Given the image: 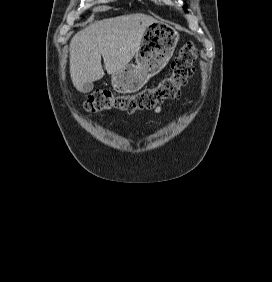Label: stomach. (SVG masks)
I'll return each instance as SVG.
<instances>
[{
  "label": "stomach",
  "instance_id": "0dacf381",
  "mask_svg": "<svg viewBox=\"0 0 272 282\" xmlns=\"http://www.w3.org/2000/svg\"><path fill=\"white\" fill-rule=\"evenodd\" d=\"M178 41L179 34L169 25L160 22L149 25L136 52L135 64H128L112 74L114 90L123 94L140 90L167 65Z\"/></svg>",
  "mask_w": 272,
  "mask_h": 282
}]
</instances>
